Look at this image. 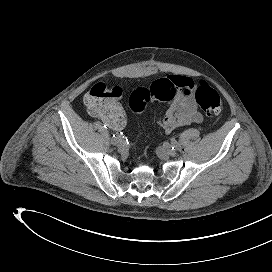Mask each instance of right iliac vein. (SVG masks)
Wrapping results in <instances>:
<instances>
[{"label":"right iliac vein","instance_id":"obj_1","mask_svg":"<svg viewBox=\"0 0 272 272\" xmlns=\"http://www.w3.org/2000/svg\"><path fill=\"white\" fill-rule=\"evenodd\" d=\"M116 145H117L118 148H124L125 145H126V142H125L124 139L121 138L116 142Z\"/></svg>","mask_w":272,"mask_h":272}]
</instances>
